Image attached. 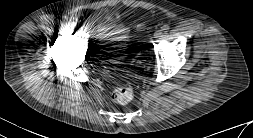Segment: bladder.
Masks as SVG:
<instances>
[{"instance_id": "bladder-1", "label": "bladder", "mask_w": 253, "mask_h": 138, "mask_svg": "<svg viewBox=\"0 0 253 138\" xmlns=\"http://www.w3.org/2000/svg\"><path fill=\"white\" fill-rule=\"evenodd\" d=\"M108 35L109 36H111V35L116 36V37H118V39H120V41H123L125 34L123 32H118V33L108 34Z\"/></svg>"}]
</instances>
